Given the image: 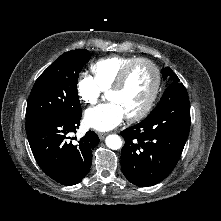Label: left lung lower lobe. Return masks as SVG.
<instances>
[{"mask_svg":"<svg viewBox=\"0 0 221 221\" xmlns=\"http://www.w3.org/2000/svg\"><path fill=\"white\" fill-rule=\"evenodd\" d=\"M190 123L188 95L172 93L143 121L120 132L121 169L128 181L147 187L164 180L182 154Z\"/></svg>","mask_w":221,"mask_h":221,"instance_id":"left-lung-lower-lobe-1","label":"left lung lower lobe"}]
</instances>
